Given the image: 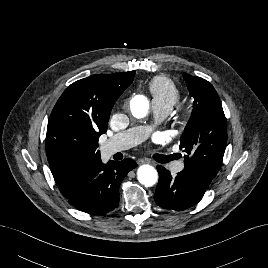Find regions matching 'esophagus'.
<instances>
[{"label": "esophagus", "instance_id": "esophagus-1", "mask_svg": "<svg viewBox=\"0 0 268 268\" xmlns=\"http://www.w3.org/2000/svg\"><path fill=\"white\" fill-rule=\"evenodd\" d=\"M137 163L139 165H141V164H145V163H150V161L147 158H140V159H138Z\"/></svg>", "mask_w": 268, "mask_h": 268}]
</instances>
